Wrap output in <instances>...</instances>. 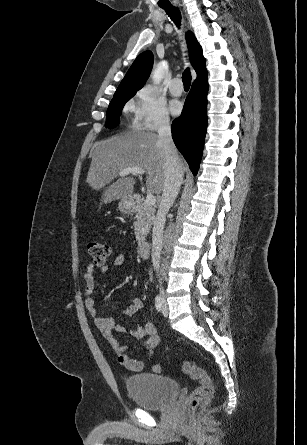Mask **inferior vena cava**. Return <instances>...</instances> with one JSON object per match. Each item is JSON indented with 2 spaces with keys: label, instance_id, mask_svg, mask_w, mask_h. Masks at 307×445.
<instances>
[{
  "label": "inferior vena cava",
  "instance_id": "obj_1",
  "mask_svg": "<svg viewBox=\"0 0 307 445\" xmlns=\"http://www.w3.org/2000/svg\"><path fill=\"white\" fill-rule=\"evenodd\" d=\"M158 136L159 142H163L165 150V178L163 182L162 198L155 218L152 235L151 259L155 271H159L160 267L166 214L169 208H171L183 180V170L178 150L172 140L169 116H161L158 124ZM160 293L164 295L163 289H160Z\"/></svg>",
  "mask_w": 307,
  "mask_h": 445
}]
</instances>
